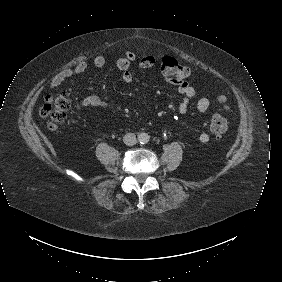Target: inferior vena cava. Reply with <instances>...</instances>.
<instances>
[{
	"mask_svg": "<svg viewBox=\"0 0 282 282\" xmlns=\"http://www.w3.org/2000/svg\"><path fill=\"white\" fill-rule=\"evenodd\" d=\"M123 142L127 146H133L137 143L136 135L134 133H127L123 137Z\"/></svg>",
	"mask_w": 282,
	"mask_h": 282,
	"instance_id": "inferior-vena-cava-1",
	"label": "inferior vena cava"
}]
</instances>
